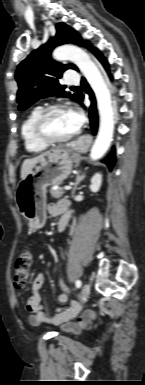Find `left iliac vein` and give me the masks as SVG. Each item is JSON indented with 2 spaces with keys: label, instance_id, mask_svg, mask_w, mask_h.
Wrapping results in <instances>:
<instances>
[{
  "label": "left iliac vein",
  "instance_id": "4c4485c4",
  "mask_svg": "<svg viewBox=\"0 0 145 385\" xmlns=\"http://www.w3.org/2000/svg\"><path fill=\"white\" fill-rule=\"evenodd\" d=\"M90 293V285L88 283L84 284L81 289L80 299L81 301H84L88 298Z\"/></svg>",
  "mask_w": 145,
  "mask_h": 385
}]
</instances>
